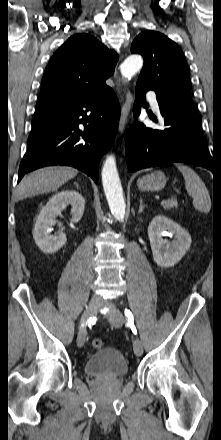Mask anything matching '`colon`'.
<instances>
[{"instance_id": "colon-1", "label": "colon", "mask_w": 221, "mask_h": 440, "mask_svg": "<svg viewBox=\"0 0 221 440\" xmlns=\"http://www.w3.org/2000/svg\"><path fill=\"white\" fill-rule=\"evenodd\" d=\"M93 349L100 350L104 346V342L101 339H94L91 343Z\"/></svg>"}]
</instances>
